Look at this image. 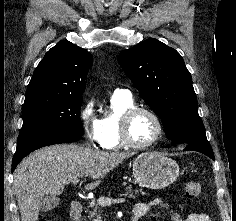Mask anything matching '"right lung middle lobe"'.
Segmentation results:
<instances>
[{
    "mask_svg": "<svg viewBox=\"0 0 236 221\" xmlns=\"http://www.w3.org/2000/svg\"><path fill=\"white\" fill-rule=\"evenodd\" d=\"M82 96L34 93L25 96L18 138L39 132L84 135L80 121Z\"/></svg>",
    "mask_w": 236,
    "mask_h": 221,
    "instance_id": "obj_1",
    "label": "right lung middle lobe"
}]
</instances>
